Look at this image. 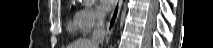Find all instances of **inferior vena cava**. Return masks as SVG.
Instances as JSON below:
<instances>
[{
	"label": "inferior vena cava",
	"mask_w": 213,
	"mask_h": 48,
	"mask_svg": "<svg viewBox=\"0 0 213 48\" xmlns=\"http://www.w3.org/2000/svg\"><path fill=\"white\" fill-rule=\"evenodd\" d=\"M105 37V22L104 15L101 13H97L96 15V23L95 28L92 33L91 42L98 48V45L103 43Z\"/></svg>",
	"instance_id": "inferior-vena-cava-1"
}]
</instances>
